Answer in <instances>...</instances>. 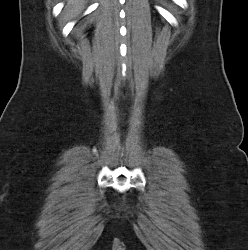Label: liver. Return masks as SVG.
Segmentation results:
<instances>
[{
	"instance_id": "liver-1",
	"label": "liver",
	"mask_w": 248,
	"mask_h": 250,
	"mask_svg": "<svg viewBox=\"0 0 248 250\" xmlns=\"http://www.w3.org/2000/svg\"><path fill=\"white\" fill-rule=\"evenodd\" d=\"M84 0H68L66 6V15L67 17H75L82 10Z\"/></svg>"
}]
</instances>
